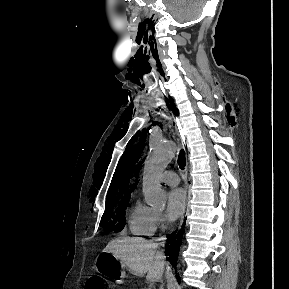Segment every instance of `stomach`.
Here are the masks:
<instances>
[{
    "label": "stomach",
    "mask_w": 289,
    "mask_h": 289,
    "mask_svg": "<svg viewBox=\"0 0 289 289\" xmlns=\"http://www.w3.org/2000/svg\"><path fill=\"white\" fill-rule=\"evenodd\" d=\"M95 269L99 274L116 282L125 277L122 263L113 253L102 252L99 254L96 258Z\"/></svg>",
    "instance_id": "0dacf381"
}]
</instances>
